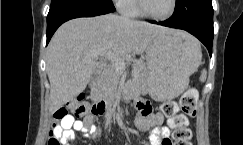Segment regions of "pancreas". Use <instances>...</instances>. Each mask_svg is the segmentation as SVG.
Returning a JSON list of instances; mask_svg holds the SVG:
<instances>
[{
  "label": "pancreas",
  "mask_w": 243,
  "mask_h": 145,
  "mask_svg": "<svg viewBox=\"0 0 243 145\" xmlns=\"http://www.w3.org/2000/svg\"><path fill=\"white\" fill-rule=\"evenodd\" d=\"M122 72L114 63L105 67L96 84L97 94L107 95L117 89ZM133 75L141 82L146 79L147 71L143 62L136 61L134 63Z\"/></svg>",
  "instance_id": "cf45deb5"
}]
</instances>
